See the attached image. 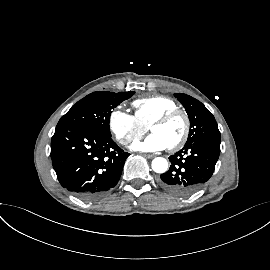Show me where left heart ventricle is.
Listing matches in <instances>:
<instances>
[{
	"instance_id": "1",
	"label": "left heart ventricle",
	"mask_w": 270,
	"mask_h": 270,
	"mask_svg": "<svg viewBox=\"0 0 270 270\" xmlns=\"http://www.w3.org/2000/svg\"><path fill=\"white\" fill-rule=\"evenodd\" d=\"M184 127L183 118L176 116L165 124L154 126L151 132L160 136L169 147L180 139L184 132Z\"/></svg>"
}]
</instances>
